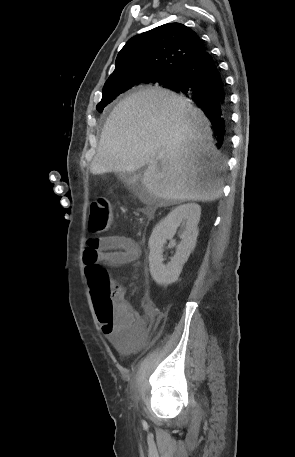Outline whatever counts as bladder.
<instances>
[{
    "instance_id": "bladder-1",
    "label": "bladder",
    "mask_w": 295,
    "mask_h": 457,
    "mask_svg": "<svg viewBox=\"0 0 295 457\" xmlns=\"http://www.w3.org/2000/svg\"><path fill=\"white\" fill-rule=\"evenodd\" d=\"M109 347H120V356H139L141 346L140 338H109Z\"/></svg>"
}]
</instances>
